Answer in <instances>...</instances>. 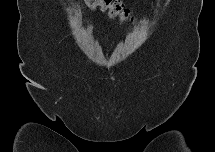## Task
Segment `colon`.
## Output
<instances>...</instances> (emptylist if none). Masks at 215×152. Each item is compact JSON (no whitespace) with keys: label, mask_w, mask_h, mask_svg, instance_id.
I'll list each match as a JSON object with an SVG mask.
<instances>
[{"label":"colon","mask_w":215,"mask_h":152,"mask_svg":"<svg viewBox=\"0 0 215 152\" xmlns=\"http://www.w3.org/2000/svg\"><path fill=\"white\" fill-rule=\"evenodd\" d=\"M91 9L100 8L108 12L111 17L118 18L121 22H133V16L124 5L117 0H88L85 2Z\"/></svg>","instance_id":"5ec220e1"}]
</instances>
